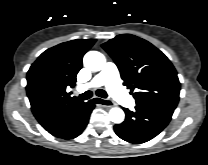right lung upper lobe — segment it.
Here are the masks:
<instances>
[{"mask_svg": "<svg viewBox=\"0 0 208 165\" xmlns=\"http://www.w3.org/2000/svg\"><path fill=\"white\" fill-rule=\"evenodd\" d=\"M95 39H77L61 43L43 52L27 73V95L31 109L46 130L80 109L84 102L66 92L74 87L82 68L83 55Z\"/></svg>", "mask_w": 208, "mask_h": 165, "instance_id": "cb5924a9", "label": "right lung upper lobe"}]
</instances>
